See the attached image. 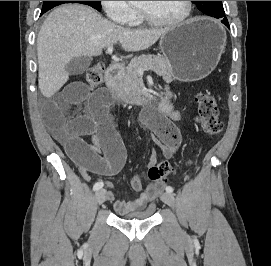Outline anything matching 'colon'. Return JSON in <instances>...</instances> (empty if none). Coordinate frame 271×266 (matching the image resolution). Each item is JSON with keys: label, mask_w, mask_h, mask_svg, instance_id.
Returning <instances> with one entry per match:
<instances>
[{"label": "colon", "mask_w": 271, "mask_h": 266, "mask_svg": "<svg viewBox=\"0 0 271 266\" xmlns=\"http://www.w3.org/2000/svg\"><path fill=\"white\" fill-rule=\"evenodd\" d=\"M104 71L103 64H94L86 72V84L94 89L102 82ZM199 114L203 120V132L213 139L223 130V122L219 119V109L214 96L209 91H203L196 95ZM174 173V166L168 161H161L149 166L147 175L150 181L160 183L166 181Z\"/></svg>", "instance_id": "colon-1"}]
</instances>
